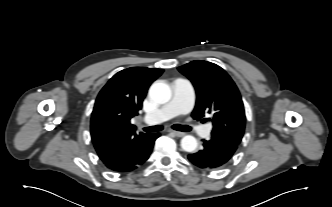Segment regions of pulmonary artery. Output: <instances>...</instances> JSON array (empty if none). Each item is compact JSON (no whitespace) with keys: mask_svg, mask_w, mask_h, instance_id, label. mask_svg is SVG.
<instances>
[{"mask_svg":"<svg viewBox=\"0 0 332 207\" xmlns=\"http://www.w3.org/2000/svg\"><path fill=\"white\" fill-rule=\"evenodd\" d=\"M172 99L159 110L148 113L144 116V122L147 124H158L167 121L177 115L189 113L195 101V93L192 84L183 78H176L172 83ZM211 125H202L197 128L198 134L208 136Z\"/></svg>","mask_w":332,"mask_h":207,"instance_id":"pulmonary-artery-1","label":"pulmonary artery"}]
</instances>
